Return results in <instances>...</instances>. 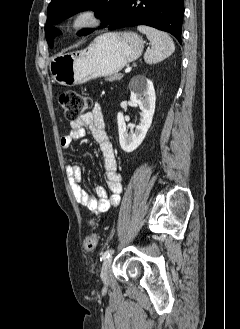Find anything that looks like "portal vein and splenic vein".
I'll list each match as a JSON object with an SVG mask.
<instances>
[{"label": "portal vein and splenic vein", "instance_id": "obj_1", "mask_svg": "<svg viewBox=\"0 0 240 329\" xmlns=\"http://www.w3.org/2000/svg\"><path fill=\"white\" fill-rule=\"evenodd\" d=\"M132 67L131 66H128L125 68L124 72L125 73H129L131 71Z\"/></svg>", "mask_w": 240, "mask_h": 329}]
</instances>
